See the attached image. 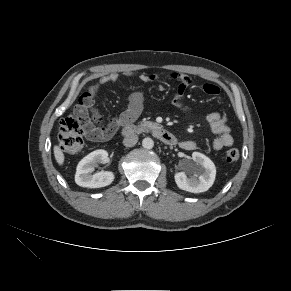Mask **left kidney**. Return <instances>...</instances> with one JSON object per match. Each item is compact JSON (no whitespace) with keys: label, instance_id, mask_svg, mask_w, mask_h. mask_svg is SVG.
Returning <instances> with one entry per match:
<instances>
[{"label":"left kidney","instance_id":"1","mask_svg":"<svg viewBox=\"0 0 291 291\" xmlns=\"http://www.w3.org/2000/svg\"><path fill=\"white\" fill-rule=\"evenodd\" d=\"M192 160L195 162L191 166L194 175L188 178L185 172H178L174 176L175 182L182 190L192 193L205 192L214 183L216 167L207 156L200 152H193Z\"/></svg>","mask_w":291,"mask_h":291}]
</instances>
